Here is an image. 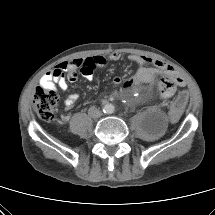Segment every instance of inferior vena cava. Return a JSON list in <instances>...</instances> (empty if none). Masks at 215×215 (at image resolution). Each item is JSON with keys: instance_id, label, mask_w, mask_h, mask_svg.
I'll use <instances>...</instances> for the list:
<instances>
[{"instance_id": "1", "label": "inferior vena cava", "mask_w": 215, "mask_h": 215, "mask_svg": "<svg viewBox=\"0 0 215 215\" xmlns=\"http://www.w3.org/2000/svg\"><path fill=\"white\" fill-rule=\"evenodd\" d=\"M88 114H89L90 117H92L94 119L99 118L102 115L101 111L98 108L94 107V106L89 108Z\"/></svg>"}]
</instances>
